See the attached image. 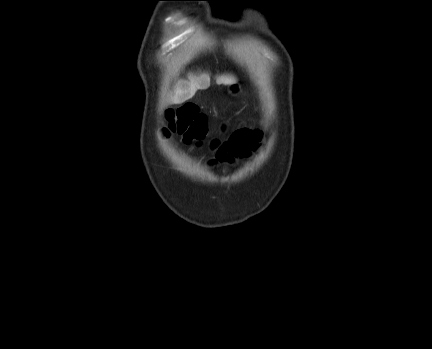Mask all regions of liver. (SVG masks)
<instances>
[{
    "instance_id": "liver-1",
    "label": "liver",
    "mask_w": 432,
    "mask_h": 349,
    "mask_svg": "<svg viewBox=\"0 0 432 349\" xmlns=\"http://www.w3.org/2000/svg\"><path fill=\"white\" fill-rule=\"evenodd\" d=\"M236 79L230 75H222L216 78L217 84L231 85ZM210 85V76L207 73L188 75L187 80H180L174 87V93L170 97L171 104H181L191 99L197 90L206 89Z\"/></svg>"
}]
</instances>
